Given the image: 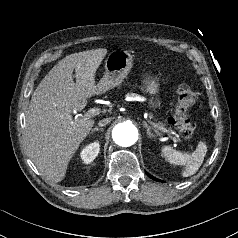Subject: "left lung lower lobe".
<instances>
[{"mask_svg":"<svg viewBox=\"0 0 238 238\" xmlns=\"http://www.w3.org/2000/svg\"><path fill=\"white\" fill-rule=\"evenodd\" d=\"M152 179H154V180H157L156 178H154V177H152V176H150ZM157 181H159V180H157Z\"/></svg>","mask_w":238,"mask_h":238,"instance_id":"0a47b994","label":"left lung lower lobe"}]
</instances>
